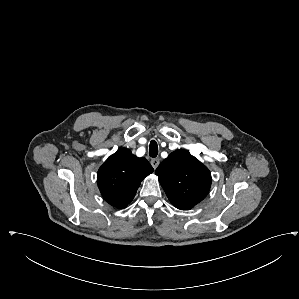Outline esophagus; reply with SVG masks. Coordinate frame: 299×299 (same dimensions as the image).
Here are the masks:
<instances>
[{
	"instance_id": "34e87169",
	"label": "esophagus",
	"mask_w": 299,
	"mask_h": 299,
	"mask_svg": "<svg viewBox=\"0 0 299 299\" xmlns=\"http://www.w3.org/2000/svg\"><path fill=\"white\" fill-rule=\"evenodd\" d=\"M150 163H151L152 167L154 169H156L158 167L159 163H160V159L159 158H153V159H151Z\"/></svg>"
}]
</instances>
